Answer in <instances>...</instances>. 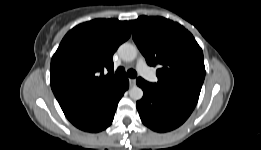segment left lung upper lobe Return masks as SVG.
Masks as SVG:
<instances>
[{"mask_svg":"<svg viewBox=\"0 0 261 150\" xmlns=\"http://www.w3.org/2000/svg\"><path fill=\"white\" fill-rule=\"evenodd\" d=\"M132 37L156 71L159 87H176L200 94L205 78L203 52L192 34L162 17L141 16L129 21Z\"/></svg>","mask_w":261,"mask_h":150,"instance_id":"obj_1","label":"left lung upper lobe"}]
</instances>
